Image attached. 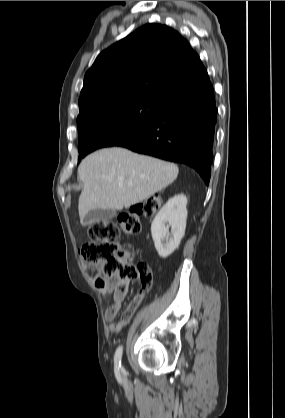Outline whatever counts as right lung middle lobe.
Returning <instances> with one entry per match:
<instances>
[{"label": "right lung middle lobe", "instance_id": "right-lung-middle-lobe-1", "mask_svg": "<svg viewBox=\"0 0 285 418\" xmlns=\"http://www.w3.org/2000/svg\"><path fill=\"white\" fill-rule=\"evenodd\" d=\"M163 107L150 101H135L108 106L78 121V160L96 149L115 146L135 135L153 122Z\"/></svg>", "mask_w": 285, "mask_h": 418}]
</instances>
